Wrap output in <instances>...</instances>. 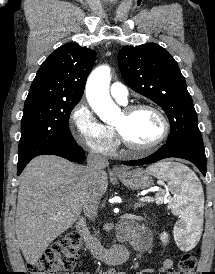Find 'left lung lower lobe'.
<instances>
[{
    "instance_id": "left-lung-lower-lobe-1",
    "label": "left lung lower lobe",
    "mask_w": 215,
    "mask_h": 274,
    "mask_svg": "<svg viewBox=\"0 0 215 274\" xmlns=\"http://www.w3.org/2000/svg\"><path fill=\"white\" fill-rule=\"evenodd\" d=\"M169 157L186 159L195 164L204 176L206 175V156L204 146L184 143H166L158 149V151L146 158L124 161L123 164L130 166L151 164Z\"/></svg>"
}]
</instances>
